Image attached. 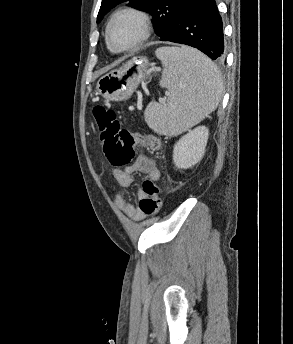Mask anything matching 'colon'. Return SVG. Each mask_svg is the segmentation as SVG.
Masks as SVG:
<instances>
[{"label":"colon","instance_id":"5ec220e1","mask_svg":"<svg viewBox=\"0 0 293 344\" xmlns=\"http://www.w3.org/2000/svg\"><path fill=\"white\" fill-rule=\"evenodd\" d=\"M93 116L99 128L103 152L114 168H122L131 163L137 145L145 146L150 151H158L161 141L152 134H137L123 129L119 123L118 112L103 105L93 107ZM145 197L139 202V209L145 216L157 214L162 207L158 186L151 180L142 185Z\"/></svg>","mask_w":293,"mask_h":344}]
</instances>
